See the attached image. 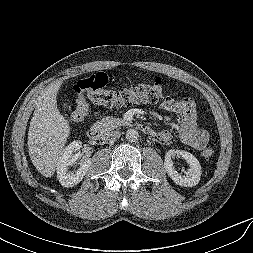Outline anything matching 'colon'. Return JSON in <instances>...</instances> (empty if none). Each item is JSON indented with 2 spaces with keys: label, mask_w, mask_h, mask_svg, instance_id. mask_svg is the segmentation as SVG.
<instances>
[{
  "label": "colon",
  "mask_w": 253,
  "mask_h": 253,
  "mask_svg": "<svg viewBox=\"0 0 253 253\" xmlns=\"http://www.w3.org/2000/svg\"><path fill=\"white\" fill-rule=\"evenodd\" d=\"M107 83L108 77L102 72L77 82L75 85V109L70 116L72 121H82L86 117L89 110L88 100L105 106H123L136 102L155 103L162 98L164 93L163 82L160 78H155L148 84L134 85L119 91L105 89ZM212 155L213 149L207 145L203 151V156L209 159Z\"/></svg>",
  "instance_id": "obj_1"
}]
</instances>
